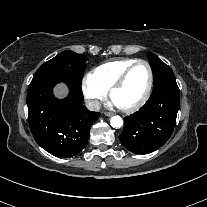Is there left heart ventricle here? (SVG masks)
<instances>
[{
  "label": "left heart ventricle",
  "mask_w": 207,
  "mask_h": 207,
  "mask_svg": "<svg viewBox=\"0 0 207 207\" xmlns=\"http://www.w3.org/2000/svg\"><path fill=\"white\" fill-rule=\"evenodd\" d=\"M148 84V71L145 65L135 66L127 76L123 86L113 95L112 101L118 107H128L141 99Z\"/></svg>",
  "instance_id": "obj_1"
}]
</instances>
